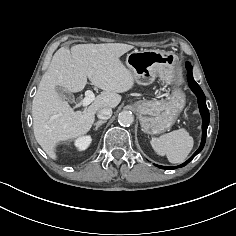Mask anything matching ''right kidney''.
<instances>
[{"label": "right kidney", "instance_id": "1", "mask_svg": "<svg viewBox=\"0 0 236 236\" xmlns=\"http://www.w3.org/2000/svg\"><path fill=\"white\" fill-rule=\"evenodd\" d=\"M91 143V137L90 136H85V137H80L75 141V146L80 150L83 151L87 149V147Z\"/></svg>", "mask_w": 236, "mask_h": 236}]
</instances>
